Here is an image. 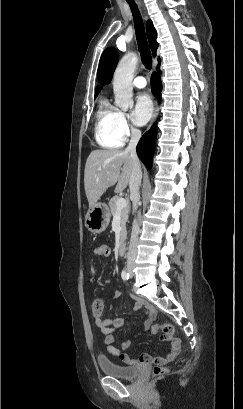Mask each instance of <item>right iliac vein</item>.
Here are the masks:
<instances>
[{"mask_svg": "<svg viewBox=\"0 0 243 409\" xmlns=\"http://www.w3.org/2000/svg\"><path fill=\"white\" fill-rule=\"evenodd\" d=\"M128 270L131 271V267H129Z\"/></svg>", "mask_w": 243, "mask_h": 409, "instance_id": "obj_1", "label": "right iliac vein"}]
</instances>
